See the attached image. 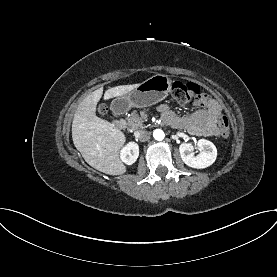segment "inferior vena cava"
Segmentation results:
<instances>
[{"label": "inferior vena cava", "mask_w": 277, "mask_h": 277, "mask_svg": "<svg viewBox=\"0 0 277 277\" xmlns=\"http://www.w3.org/2000/svg\"><path fill=\"white\" fill-rule=\"evenodd\" d=\"M135 137L140 141L145 142L150 139V133L146 130H139L135 132Z\"/></svg>", "instance_id": "602c4592"}]
</instances>
